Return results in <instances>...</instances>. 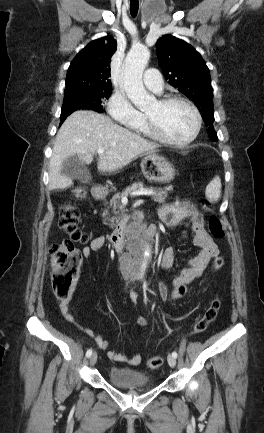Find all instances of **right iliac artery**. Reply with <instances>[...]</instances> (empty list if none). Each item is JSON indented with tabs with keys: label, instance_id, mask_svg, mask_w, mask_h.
I'll use <instances>...</instances> for the list:
<instances>
[{
	"label": "right iliac artery",
	"instance_id": "right-iliac-artery-1",
	"mask_svg": "<svg viewBox=\"0 0 264 433\" xmlns=\"http://www.w3.org/2000/svg\"><path fill=\"white\" fill-rule=\"evenodd\" d=\"M92 355V349L87 350L86 357H90Z\"/></svg>",
	"mask_w": 264,
	"mask_h": 433
}]
</instances>
